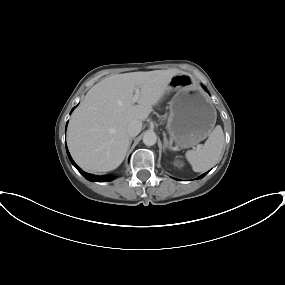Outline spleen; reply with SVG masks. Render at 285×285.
Segmentation results:
<instances>
[{"instance_id":"1","label":"spleen","mask_w":285,"mask_h":285,"mask_svg":"<svg viewBox=\"0 0 285 285\" xmlns=\"http://www.w3.org/2000/svg\"><path fill=\"white\" fill-rule=\"evenodd\" d=\"M224 144V134L220 125L210 133L204 145L189 150L185 156L194 172L210 169L220 158Z\"/></svg>"}]
</instances>
